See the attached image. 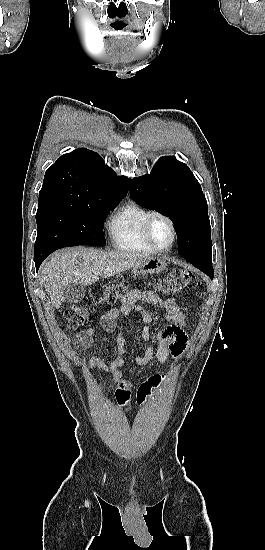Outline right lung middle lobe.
Returning <instances> with one entry per match:
<instances>
[{
    "label": "right lung middle lobe",
    "instance_id": "obj_1",
    "mask_svg": "<svg viewBox=\"0 0 265 550\" xmlns=\"http://www.w3.org/2000/svg\"><path fill=\"white\" fill-rule=\"evenodd\" d=\"M121 199H39L35 255H49L68 246H104V220Z\"/></svg>",
    "mask_w": 265,
    "mask_h": 550
}]
</instances>
